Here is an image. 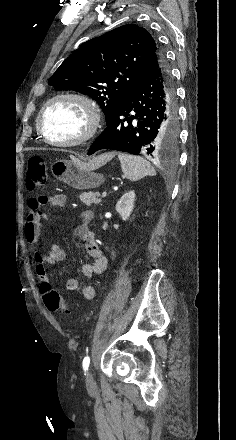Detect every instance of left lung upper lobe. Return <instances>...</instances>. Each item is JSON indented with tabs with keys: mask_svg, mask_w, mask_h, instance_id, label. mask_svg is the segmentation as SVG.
<instances>
[{
	"mask_svg": "<svg viewBox=\"0 0 236 440\" xmlns=\"http://www.w3.org/2000/svg\"><path fill=\"white\" fill-rule=\"evenodd\" d=\"M161 54L159 44L145 28L123 25L84 42L64 60L48 84L56 90L90 96L102 107L108 123L144 75L151 58Z\"/></svg>",
	"mask_w": 236,
	"mask_h": 440,
	"instance_id": "5c2ea615",
	"label": "left lung upper lobe"
}]
</instances>
